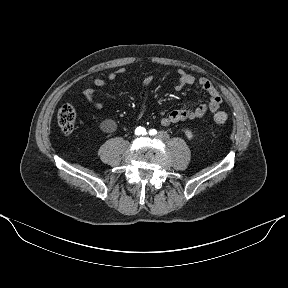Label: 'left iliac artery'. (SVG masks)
I'll return each mask as SVG.
<instances>
[{"mask_svg": "<svg viewBox=\"0 0 288 288\" xmlns=\"http://www.w3.org/2000/svg\"><path fill=\"white\" fill-rule=\"evenodd\" d=\"M149 134H150V135H156V134H157V131H156L155 129H151V130L149 131Z\"/></svg>", "mask_w": 288, "mask_h": 288, "instance_id": "44dca946", "label": "left iliac artery"}]
</instances>
